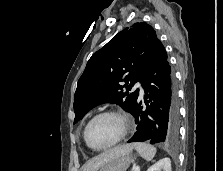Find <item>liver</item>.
Returning <instances> with one entry per match:
<instances>
[{"label":"liver","mask_w":223,"mask_h":171,"mask_svg":"<svg viewBox=\"0 0 223 171\" xmlns=\"http://www.w3.org/2000/svg\"><path fill=\"white\" fill-rule=\"evenodd\" d=\"M133 147V144H125L109 149L86 162L83 167V171H97L99 168L113 161L115 158L129 154L133 150Z\"/></svg>","instance_id":"liver-1"}]
</instances>
